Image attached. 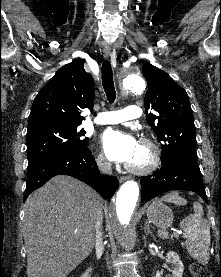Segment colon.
Masks as SVG:
<instances>
[{
    "instance_id": "5ec220e1",
    "label": "colon",
    "mask_w": 221,
    "mask_h": 277,
    "mask_svg": "<svg viewBox=\"0 0 221 277\" xmlns=\"http://www.w3.org/2000/svg\"><path fill=\"white\" fill-rule=\"evenodd\" d=\"M191 273L195 277H212L211 273L208 269L198 265V264H192L190 266Z\"/></svg>"
}]
</instances>
